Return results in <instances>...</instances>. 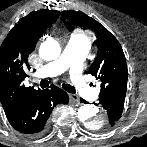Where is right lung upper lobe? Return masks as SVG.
<instances>
[{"label":"right lung upper lobe","instance_id":"cb5924a9","mask_svg":"<svg viewBox=\"0 0 147 147\" xmlns=\"http://www.w3.org/2000/svg\"><path fill=\"white\" fill-rule=\"evenodd\" d=\"M55 10L41 9L21 18L0 48V102L6 116L22 110L42 90L25 87L22 81L30 69L28 56L40 35L59 16Z\"/></svg>","mask_w":147,"mask_h":147}]
</instances>
